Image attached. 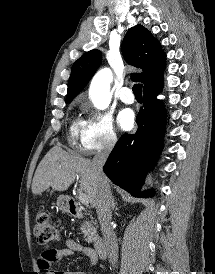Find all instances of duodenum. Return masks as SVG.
I'll list each match as a JSON object with an SVG mask.
<instances>
[{
    "instance_id": "410a0bca",
    "label": "duodenum",
    "mask_w": 215,
    "mask_h": 274,
    "mask_svg": "<svg viewBox=\"0 0 215 274\" xmlns=\"http://www.w3.org/2000/svg\"><path fill=\"white\" fill-rule=\"evenodd\" d=\"M66 206L68 208L69 213L77 218H80L83 216L81 210L79 209L77 203L72 199V198H68L66 200ZM94 249L96 251V253L98 254V256L100 258H105L107 255V245L106 242L104 241L103 238L101 237H97L94 240Z\"/></svg>"
}]
</instances>
